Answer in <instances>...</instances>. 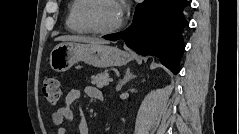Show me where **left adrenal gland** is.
<instances>
[{
    "label": "left adrenal gland",
    "mask_w": 239,
    "mask_h": 134,
    "mask_svg": "<svg viewBox=\"0 0 239 134\" xmlns=\"http://www.w3.org/2000/svg\"><path fill=\"white\" fill-rule=\"evenodd\" d=\"M133 78H136V75H133V74L130 72V68H127V70H126V72H125V75H124V78L119 81L116 90H117V91H120L121 88H122L129 80H132Z\"/></svg>",
    "instance_id": "1"
}]
</instances>
